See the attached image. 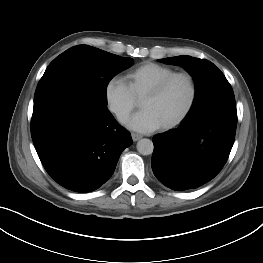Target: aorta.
I'll list each match as a JSON object with an SVG mask.
<instances>
[{
	"instance_id": "1",
	"label": "aorta",
	"mask_w": 263,
	"mask_h": 263,
	"mask_svg": "<svg viewBox=\"0 0 263 263\" xmlns=\"http://www.w3.org/2000/svg\"><path fill=\"white\" fill-rule=\"evenodd\" d=\"M137 151L142 155H150L153 153L154 145L150 139L144 138L137 142Z\"/></svg>"
}]
</instances>
